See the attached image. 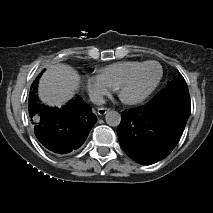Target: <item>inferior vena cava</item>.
<instances>
[{
	"instance_id": "1",
	"label": "inferior vena cava",
	"mask_w": 213,
	"mask_h": 213,
	"mask_svg": "<svg viewBox=\"0 0 213 213\" xmlns=\"http://www.w3.org/2000/svg\"><path fill=\"white\" fill-rule=\"evenodd\" d=\"M90 101L96 105H103L105 104L106 100L104 99L103 95L98 93H92L89 96Z\"/></svg>"
}]
</instances>
